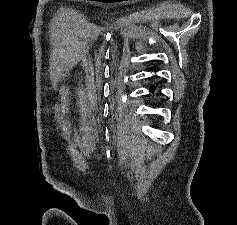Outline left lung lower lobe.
I'll return each instance as SVG.
<instances>
[{"label": "left lung lower lobe", "instance_id": "1", "mask_svg": "<svg viewBox=\"0 0 237 225\" xmlns=\"http://www.w3.org/2000/svg\"><path fill=\"white\" fill-rule=\"evenodd\" d=\"M150 91H151V92H154V91H155V87H154V86H151V87H150Z\"/></svg>", "mask_w": 237, "mask_h": 225}]
</instances>
